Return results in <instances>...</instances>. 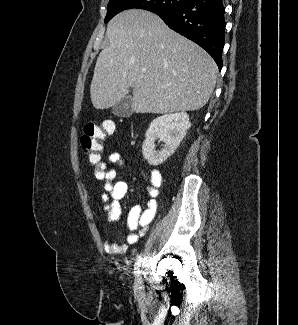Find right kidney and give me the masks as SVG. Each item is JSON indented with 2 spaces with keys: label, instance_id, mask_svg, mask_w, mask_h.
Listing matches in <instances>:
<instances>
[{
  "label": "right kidney",
  "instance_id": "1",
  "mask_svg": "<svg viewBox=\"0 0 298 325\" xmlns=\"http://www.w3.org/2000/svg\"><path fill=\"white\" fill-rule=\"evenodd\" d=\"M191 122L187 112H174V114H162L153 118L146 130V138L142 144L144 158L149 165H161L164 160L173 154L181 140H183ZM164 142L163 148L156 150L155 140Z\"/></svg>",
  "mask_w": 298,
  "mask_h": 325
}]
</instances>
